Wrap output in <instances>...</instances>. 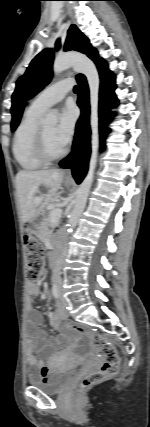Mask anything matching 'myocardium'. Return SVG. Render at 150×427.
Returning <instances> with one entry per match:
<instances>
[{
    "label": "myocardium",
    "mask_w": 150,
    "mask_h": 427,
    "mask_svg": "<svg viewBox=\"0 0 150 427\" xmlns=\"http://www.w3.org/2000/svg\"><path fill=\"white\" fill-rule=\"evenodd\" d=\"M66 154V149L63 148L59 153L57 154H51L48 151L46 141H45V135L43 131V127L39 126L35 138V155L37 159L42 162L43 164H50L52 162H55L59 159H61Z\"/></svg>",
    "instance_id": "obj_1"
}]
</instances>
